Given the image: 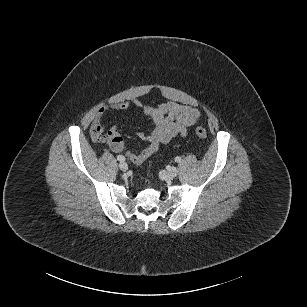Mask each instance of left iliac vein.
I'll list each match as a JSON object with an SVG mask.
<instances>
[{
    "instance_id": "obj_1",
    "label": "left iliac vein",
    "mask_w": 307,
    "mask_h": 307,
    "mask_svg": "<svg viewBox=\"0 0 307 307\" xmlns=\"http://www.w3.org/2000/svg\"><path fill=\"white\" fill-rule=\"evenodd\" d=\"M178 169L176 167H171L165 172L166 179H173L177 176Z\"/></svg>"
}]
</instances>
